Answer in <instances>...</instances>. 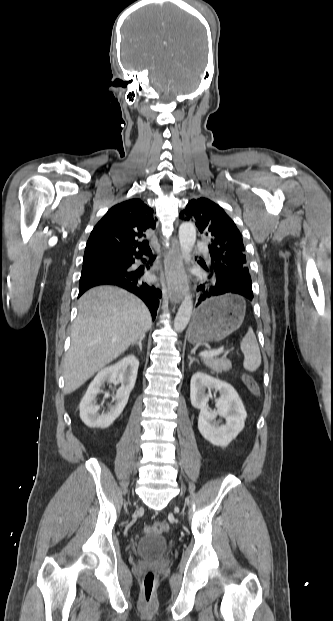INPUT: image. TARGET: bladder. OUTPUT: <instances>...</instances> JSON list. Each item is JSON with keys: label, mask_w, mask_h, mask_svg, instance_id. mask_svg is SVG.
<instances>
[{"label": "bladder", "mask_w": 333, "mask_h": 621, "mask_svg": "<svg viewBox=\"0 0 333 621\" xmlns=\"http://www.w3.org/2000/svg\"><path fill=\"white\" fill-rule=\"evenodd\" d=\"M167 547V541L161 535H147L139 540L135 552L140 557L155 558L164 555Z\"/></svg>", "instance_id": "bladder-1"}]
</instances>
